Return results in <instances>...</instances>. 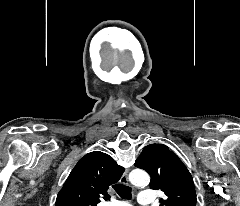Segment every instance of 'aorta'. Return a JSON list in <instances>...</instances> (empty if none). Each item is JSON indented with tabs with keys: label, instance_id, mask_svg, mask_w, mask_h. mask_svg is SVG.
<instances>
[{
	"label": "aorta",
	"instance_id": "762f6f07",
	"mask_svg": "<svg viewBox=\"0 0 240 206\" xmlns=\"http://www.w3.org/2000/svg\"><path fill=\"white\" fill-rule=\"evenodd\" d=\"M130 181L135 186H145L149 183V175L143 170H133L130 173Z\"/></svg>",
	"mask_w": 240,
	"mask_h": 206
}]
</instances>
